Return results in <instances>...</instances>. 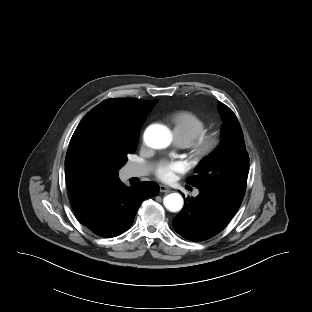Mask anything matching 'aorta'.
<instances>
[{"mask_svg": "<svg viewBox=\"0 0 312 312\" xmlns=\"http://www.w3.org/2000/svg\"><path fill=\"white\" fill-rule=\"evenodd\" d=\"M144 139L150 147L161 149L170 145L172 136L167 127L155 124L147 128ZM164 205L169 211H180L183 207V198L178 193L169 194L164 198Z\"/></svg>", "mask_w": 312, "mask_h": 312, "instance_id": "obj_1", "label": "aorta"}]
</instances>
